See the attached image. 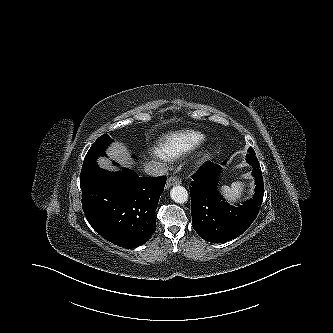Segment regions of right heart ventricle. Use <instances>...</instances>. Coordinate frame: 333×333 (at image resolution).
<instances>
[{"label":"right heart ventricle","instance_id":"right-heart-ventricle-1","mask_svg":"<svg viewBox=\"0 0 333 333\" xmlns=\"http://www.w3.org/2000/svg\"><path fill=\"white\" fill-rule=\"evenodd\" d=\"M203 140L204 136L195 131L172 133L160 141L157 153L164 159H177L199 146Z\"/></svg>","mask_w":333,"mask_h":333}]
</instances>
